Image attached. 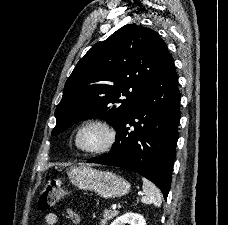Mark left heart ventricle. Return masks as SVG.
Segmentation results:
<instances>
[{
    "label": "left heart ventricle",
    "instance_id": "obj_1",
    "mask_svg": "<svg viewBox=\"0 0 228 225\" xmlns=\"http://www.w3.org/2000/svg\"><path fill=\"white\" fill-rule=\"evenodd\" d=\"M105 136L98 128H89L84 131L79 141L83 146H100L104 143Z\"/></svg>",
    "mask_w": 228,
    "mask_h": 225
}]
</instances>
